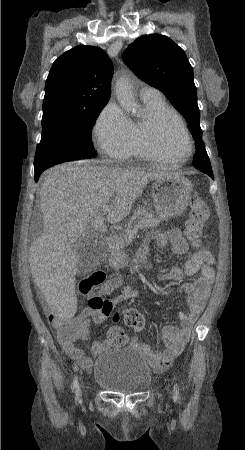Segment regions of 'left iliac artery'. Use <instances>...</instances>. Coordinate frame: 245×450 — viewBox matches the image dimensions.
<instances>
[{
	"mask_svg": "<svg viewBox=\"0 0 245 450\" xmlns=\"http://www.w3.org/2000/svg\"><path fill=\"white\" fill-rule=\"evenodd\" d=\"M173 391H174V396H173V398H174V401H177L178 400V394H179V388H178V385L177 384H174V387H173Z\"/></svg>",
	"mask_w": 245,
	"mask_h": 450,
	"instance_id": "left-iliac-artery-1",
	"label": "left iliac artery"
}]
</instances>
